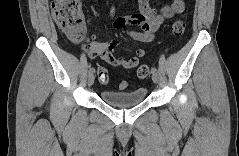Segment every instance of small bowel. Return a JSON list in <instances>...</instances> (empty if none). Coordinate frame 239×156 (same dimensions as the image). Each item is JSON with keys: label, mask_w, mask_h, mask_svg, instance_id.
<instances>
[{"label": "small bowel", "mask_w": 239, "mask_h": 156, "mask_svg": "<svg viewBox=\"0 0 239 156\" xmlns=\"http://www.w3.org/2000/svg\"><path fill=\"white\" fill-rule=\"evenodd\" d=\"M138 8L139 14L129 18H117L113 22V27L120 29L126 24L139 25L141 30H131L129 35L140 44H146L153 40L154 34L160 29L165 19L173 18L176 14L184 11L185 3L183 0H173L170 6L155 8L147 0H141ZM118 45L119 41L117 40L107 43L91 41L85 46V50L92 58L99 57L108 64L128 70L135 68L139 63V59L146 52L144 48H138L134 56L125 59L114 54V50Z\"/></svg>", "instance_id": "obj_1"}]
</instances>
